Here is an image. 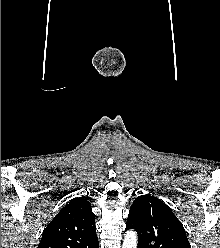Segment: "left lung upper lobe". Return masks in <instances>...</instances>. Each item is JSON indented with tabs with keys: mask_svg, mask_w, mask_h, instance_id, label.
I'll return each mask as SVG.
<instances>
[{
	"mask_svg": "<svg viewBox=\"0 0 220 248\" xmlns=\"http://www.w3.org/2000/svg\"><path fill=\"white\" fill-rule=\"evenodd\" d=\"M135 229L138 248H191L183 225L160 199L140 195L133 202L126 230Z\"/></svg>",
	"mask_w": 220,
	"mask_h": 248,
	"instance_id": "1",
	"label": "left lung upper lobe"
}]
</instances>
